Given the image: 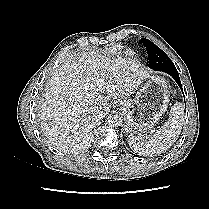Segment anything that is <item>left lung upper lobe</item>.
I'll return each mask as SVG.
<instances>
[{
    "label": "left lung upper lobe",
    "mask_w": 209,
    "mask_h": 209,
    "mask_svg": "<svg viewBox=\"0 0 209 209\" xmlns=\"http://www.w3.org/2000/svg\"><path fill=\"white\" fill-rule=\"evenodd\" d=\"M147 49L149 68L155 71H165L176 68L171 59L158 46L148 39H141Z\"/></svg>",
    "instance_id": "left-lung-upper-lobe-1"
}]
</instances>
